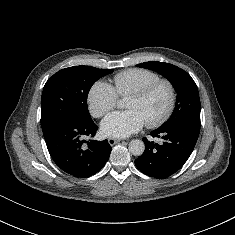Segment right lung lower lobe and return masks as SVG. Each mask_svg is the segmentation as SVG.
<instances>
[{
    "label": "right lung lower lobe",
    "instance_id": "1",
    "mask_svg": "<svg viewBox=\"0 0 235 235\" xmlns=\"http://www.w3.org/2000/svg\"><path fill=\"white\" fill-rule=\"evenodd\" d=\"M97 130L92 120L64 118L43 130V135L60 169L75 177H89L103 168L112 150L107 140H84L86 136H95Z\"/></svg>",
    "mask_w": 235,
    "mask_h": 235
}]
</instances>
